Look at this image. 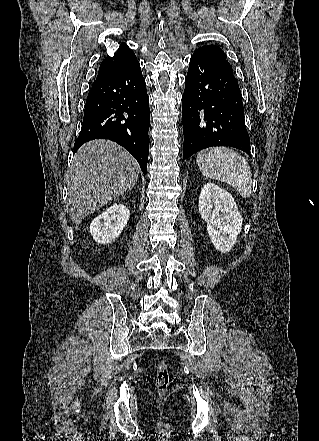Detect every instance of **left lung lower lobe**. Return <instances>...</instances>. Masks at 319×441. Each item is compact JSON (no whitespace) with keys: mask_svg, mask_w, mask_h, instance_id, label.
<instances>
[{"mask_svg":"<svg viewBox=\"0 0 319 441\" xmlns=\"http://www.w3.org/2000/svg\"><path fill=\"white\" fill-rule=\"evenodd\" d=\"M183 161L213 146H229L250 156L242 95L231 70L193 54L182 96Z\"/></svg>","mask_w":319,"mask_h":441,"instance_id":"1","label":"left lung lower lobe"}]
</instances>
